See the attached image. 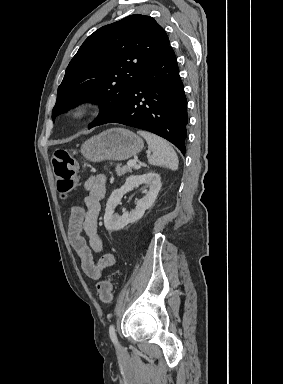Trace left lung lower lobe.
Masks as SVG:
<instances>
[{
  "label": "left lung lower lobe",
  "instance_id": "1",
  "mask_svg": "<svg viewBox=\"0 0 283 384\" xmlns=\"http://www.w3.org/2000/svg\"><path fill=\"white\" fill-rule=\"evenodd\" d=\"M105 123H120L150 131L167 139L185 154L187 101L170 45L136 82L125 106L98 125Z\"/></svg>",
  "mask_w": 283,
  "mask_h": 384
}]
</instances>
